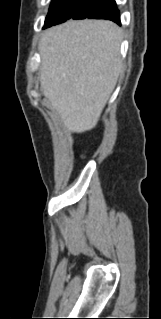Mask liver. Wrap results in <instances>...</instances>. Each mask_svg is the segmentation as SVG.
<instances>
[{
  "mask_svg": "<svg viewBox=\"0 0 161 319\" xmlns=\"http://www.w3.org/2000/svg\"><path fill=\"white\" fill-rule=\"evenodd\" d=\"M121 41L122 30L106 20L68 21L42 34L41 89L69 131L96 126L122 71Z\"/></svg>",
  "mask_w": 161,
  "mask_h": 319,
  "instance_id": "liver-1",
  "label": "liver"
}]
</instances>
